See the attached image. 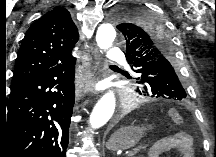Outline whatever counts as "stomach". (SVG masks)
I'll return each mask as SVG.
<instances>
[{"label":"stomach","mask_w":216,"mask_h":157,"mask_svg":"<svg viewBox=\"0 0 216 157\" xmlns=\"http://www.w3.org/2000/svg\"><path fill=\"white\" fill-rule=\"evenodd\" d=\"M145 130L144 127L121 128L111 136L107 148L113 151L130 149L141 139Z\"/></svg>","instance_id":"stomach-1"}]
</instances>
